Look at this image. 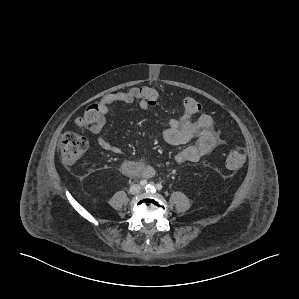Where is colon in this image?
<instances>
[{
	"instance_id": "colon-1",
	"label": "colon",
	"mask_w": 299,
	"mask_h": 299,
	"mask_svg": "<svg viewBox=\"0 0 299 299\" xmlns=\"http://www.w3.org/2000/svg\"><path fill=\"white\" fill-rule=\"evenodd\" d=\"M140 94L150 106H155L159 100V91L153 86L140 88ZM201 110L200 104L192 97H187L181 102L182 115L191 118ZM101 112L98 104H92L86 108L83 115L77 119V124L81 127L91 126L100 118ZM88 142L80 134L69 132L63 135L60 142V153L65 164H73L78 161L86 152ZM246 161L245 153L242 149L230 151L226 157V166L236 170L244 165Z\"/></svg>"
}]
</instances>
